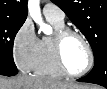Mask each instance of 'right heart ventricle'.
Masks as SVG:
<instances>
[{"mask_svg":"<svg viewBox=\"0 0 107 89\" xmlns=\"http://www.w3.org/2000/svg\"><path fill=\"white\" fill-rule=\"evenodd\" d=\"M47 20L52 25L55 32L65 27L64 21H57L52 18H47ZM52 38V35H45L39 39V47L33 72L40 76L61 78L65 75L56 63Z\"/></svg>","mask_w":107,"mask_h":89,"instance_id":"1","label":"right heart ventricle"}]
</instances>
